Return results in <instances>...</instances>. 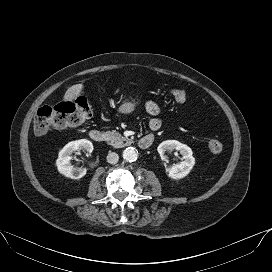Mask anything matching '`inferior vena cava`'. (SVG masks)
Here are the masks:
<instances>
[{"mask_svg": "<svg viewBox=\"0 0 272 272\" xmlns=\"http://www.w3.org/2000/svg\"><path fill=\"white\" fill-rule=\"evenodd\" d=\"M119 160V156L115 152H109L107 155V162L110 164H116Z\"/></svg>", "mask_w": 272, "mask_h": 272, "instance_id": "inferior-vena-cava-1", "label": "inferior vena cava"}]
</instances>
